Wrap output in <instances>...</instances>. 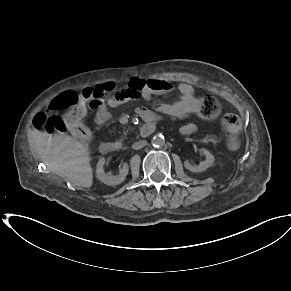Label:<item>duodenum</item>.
<instances>
[{
	"mask_svg": "<svg viewBox=\"0 0 291 291\" xmlns=\"http://www.w3.org/2000/svg\"><path fill=\"white\" fill-rule=\"evenodd\" d=\"M140 128V133L142 136H147L151 134L155 129V122L150 119ZM118 149V145L113 142H103L100 145V151L102 154H110Z\"/></svg>",
	"mask_w": 291,
	"mask_h": 291,
	"instance_id": "duodenum-1",
	"label": "duodenum"
}]
</instances>
